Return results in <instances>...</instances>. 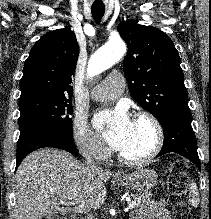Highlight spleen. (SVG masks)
Listing matches in <instances>:
<instances>
[{
  "label": "spleen",
  "instance_id": "obj_1",
  "mask_svg": "<svg viewBox=\"0 0 211 219\" xmlns=\"http://www.w3.org/2000/svg\"><path fill=\"white\" fill-rule=\"evenodd\" d=\"M189 201L194 208L199 206V192L196 183L193 181L190 184Z\"/></svg>",
  "mask_w": 211,
  "mask_h": 219
}]
</instances>
